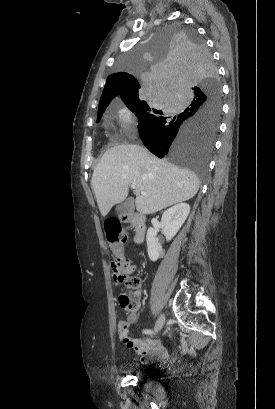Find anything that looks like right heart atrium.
Wrapping results in <instances>:
<instances>
[{
	"mask_svg": "<svg viewBox=\"0 0 275 409\" xmlns=\"http://www.w3.org/2000/svg\"><path fill=\"white\" fill-rule=\"evenodd\" d=\"M118 123L123 129H125L127 131H133L134 124H135V115H134V113L130 109L126 108V107L122 108L118 113ZM128 137H130V136H128ZM121 143H128V142L123 141Z\"/></svg>",
	"mask_w": 275,
	"mask_h": 409,
	"instance_id": "right-heart-atrium-1",
	"label": "right heart atrium"
}]
</instances>
